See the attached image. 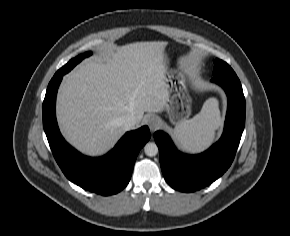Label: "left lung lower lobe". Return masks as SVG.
Instances as JSON below:
<instances>
[{
	"label": "left lung lower lobe",
	"instance_id": "left-lung-lower-lobe-1",
	"mask_svg": "<svg viewBox=\"0 0 290 236\" xmlns=\"http://www.w3.org/2000/svg\"><path fill=\"white\" fill-rule=\"evenodd\" d=\"M228 97L224 132L214 145L197 155L178 151L163 131L154 134L160 165L166 182L174 189L193 192L218 179L231 165L245 126V98L236 74L215 76Z\"/></svg>",
	"mask_w": 290,
	"mask_h": 236
}]
</instances>
